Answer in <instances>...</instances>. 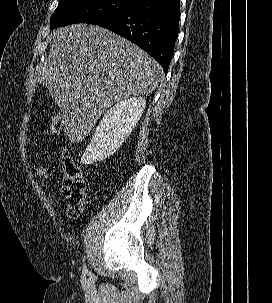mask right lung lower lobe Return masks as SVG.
I'll use <instances>...</instances> for the list:
<instances>
[{
  "label": "right lung lower lobe",
  "instance_id": "98d812e1",
  "mask_svg": "<svg viewBox=\"0 0 272 303\" xmlns=\"http://www.w3.org/2000/svg\"><path fill=\"white\" fill-rule=\"evenodd\" d=\"M180 20V0H145L131 9L91 24L109 29L137 44L167 72Z\"/></svg>",
  "mask_w": 272,
  "mask_h": 303
}]
</instances>
